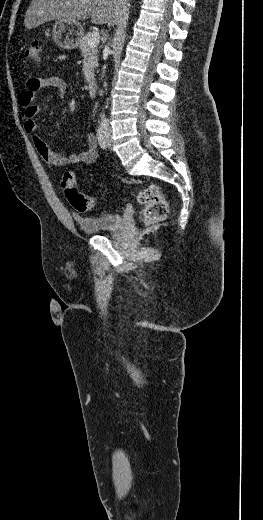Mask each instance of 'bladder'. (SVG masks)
I'll list each match as a JSON object with an SVG mask.
<instances>
[{"instance_id": "31cf9c89", "label": "bladder", "mask_w": 263, "mask_h": 520, "mask_svg": "<svg viewBox=\"0 0 263 520\" xmlns=\"http://www.w3.org/2000/svg\"><path fill=\"white\" fill-rule=\"evenodd\" d=\"M74 221L81 231L91 234L116 232L124 225V220L119 214L75 216Z\"/></svg>"}]
</instances>
